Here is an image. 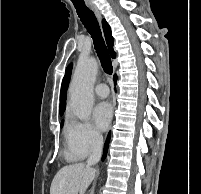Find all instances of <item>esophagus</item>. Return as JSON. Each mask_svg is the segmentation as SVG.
<instances>
[{"instance_id":"1","label":"esophagus","mask_w":201,"mask_h":194,"mask_svg":"<svg viewBox=\"0 0 201 194\" xmlns=\"http://www.w3.org/2000/svg\"><path fill=\"white\" fill-rule=\"evenodd\" d=\"M91 9H92L93 12L95 13L97 19L101 22L102 16H101V13H100V11L98 10V8H97L95 5L91 4Z\"/></svg>"}]
</instances>
